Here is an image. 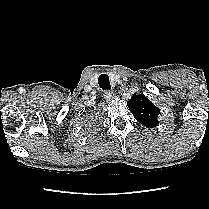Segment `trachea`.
<instances>
[{
	"instance_id": "3493384b",
	"label": "trachea",
	"mask_w": 209,
	"mask_h": 209,
	"mask_svg": "<svg viewBox=\"0 0 209 209\" xmlns=\"http://www.w3.org/2000/svg\"><path fill=\"white\" fill-rule=\"evenodd\" d=\"M98 84L102 90H110L111 85L107 74H101L98 78Z\"/></svg>"
}]
</instances>
